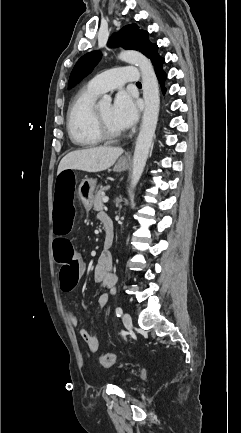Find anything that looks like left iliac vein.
I'll return each mask as SVG.
<instances>
[{"mask_svg":"<svg viewBox=\"0 0 241 433\" xmlns=\"http://www.w3.org/2000/svg\"><path fill=\"white\" fill-rule=\"evenodd\" d=\"M122 319H123V323H124L125 327L127 329H130L132 327V319H131L130 314L124 313Z\"/></svg>","mask_w":241,"mask_h":433,"instance_id":"4c4485c4","label":"left iliac vein"}]
</instances>
